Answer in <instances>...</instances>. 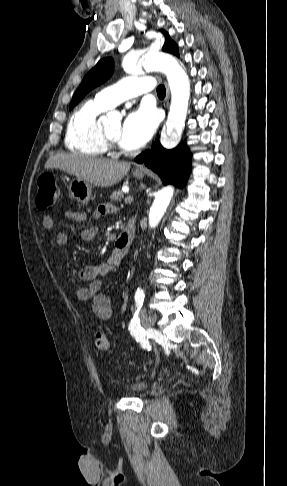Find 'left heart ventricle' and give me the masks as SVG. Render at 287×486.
I'll return each mask as SVG.
<instances>
[{"instance_id":"obj_1","label":"left heart ventricle","mask_w":287,"mask_h":486,"mask_svg":"<svg viewBox=\"0 0 287 486\" xmlns=\"http://www.w3.org/2000/svg\"><path fill=\"white\" fill-rule=\"evenodd\" d=\"M121 128V123L118 122L108 127L105 132L110 138L117 142H120Z\"/></svg>"}]
</instances>
